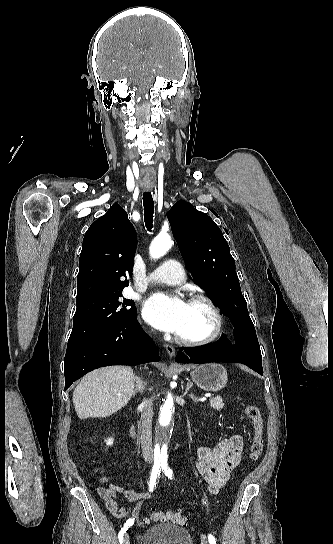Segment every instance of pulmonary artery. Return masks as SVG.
I'll list each match as a JSON object with an SVG mask.
<instances>
[{"mask_svg":"<svg viewBox=\"0 0 333 544\" xmlns=\"http://www.w3.org/2000/svg\"><path fill=\"white\" fill-rule=\"evenodd\" d=\"M185 279V272L182 265L174 260L168 259L162 263L155 271L149 276L150 282L164 283L175 285L183 282Z\"/></svg>","mask_w":333,"mask_h":544,"instance_id":"1","label":"pulmonary artery"}]
</instances>
